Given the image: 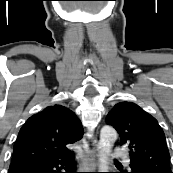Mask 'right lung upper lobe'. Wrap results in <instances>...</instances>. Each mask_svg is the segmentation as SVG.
Returning a JSON list of instances; mask_svg holds the SVG:
<instances>
[{
    "label": "right lung upper lobe",
    "instance_id": "cb5924a9",
    "mask_svg": "<svg viewBox=\"0 0 173 173\" xmlns=\"http://www.w3.org/2000/svg\"><path fill=\"white\" fill-rule=\"evenodd\" d=\"M82 135V125L73 111L57 104L46 107L20 129L10 168L66 157L72 153L67 145Z\"/></svg>",
    "mask_w": 173,
    "mask_h": 173
}]
</instances>
